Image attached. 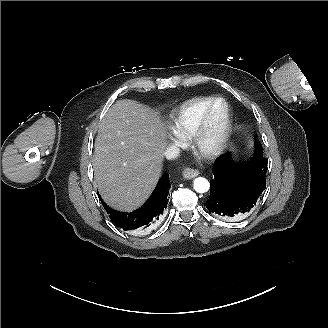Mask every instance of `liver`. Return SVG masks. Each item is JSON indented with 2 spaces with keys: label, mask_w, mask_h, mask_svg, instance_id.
I'll return each instance as SVG.
<instances>
[{
  "label": "liver",
  "mask_w": 328,
  "mask_h": 328,
  "mask_svg": "<svg viewBox=\"0 0 328 328\" xmlns=\"http://www.w3.org/2000/svg\"><path fill=\"white\" fill-rule=\"evenodd\" d=\"M168 130L158 114L132 100L107 112L95 141L93 170L103 199L132 211L151 194L160 176Z\"/></svg>",
  "instance_id": "1"
}]
</instances>
